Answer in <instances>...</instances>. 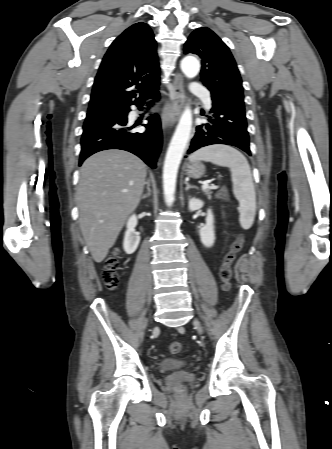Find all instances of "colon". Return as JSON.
I'll use <instances>...</instances> for the list:
<instances>
[{
	"instance_id": "obj_1",
	"label": "colon",
	"mask_w": 332,
	"mask_h": 449,
	"mask_svg": "<svg viewBox=\"0 0 332 449\" xmlns=\"http://www.w3.org/2000/svg\"><path fill=\"white\" fill-rule=\"evenodd\" d=\"M220 200H226L228 196L227 189L221 187L216 193ZM244 242L242 235H239L234 243L231 245L229 252L225 255L221 267H220V277L223 282V287L226 291L231 289V277H232V263L235 260L237 253L241 250ZM120 268L119 256L114 253L109 256L105 261L104 271L102 274V280L105 287L109 290H114L117 288L119 283L118 269ZM182 351V345L179 342H173L169 346V352L172 355H178Z\"/></svg>"
}]
</instances>
